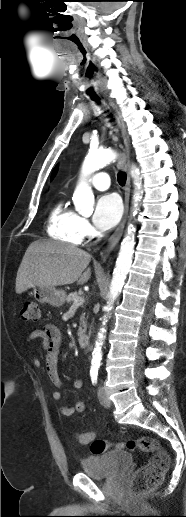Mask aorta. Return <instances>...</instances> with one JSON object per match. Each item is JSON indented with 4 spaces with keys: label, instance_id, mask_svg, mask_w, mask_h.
<instances>
[{
    "label": "aorta",
    "instance_id": "762f6f07",
    "mask_svg": "<svg viewBox=\"0 0 186 517\" xmlns=\"http://www.w3.org/2000/svg\"><path fill=\"white\" fill-rule=\"evenodd\" d=\"M116 158L117 153L111 149L90 150L85 157L81 169L80 181L73 195L75 208L80 213H89L93 210L94 206V195L91 187L86 181V178L91 173L99 170L100 168L114 161ZM130 173L134 179L135 186L132 209L134 215L139 210V203L142 198V185L139 169L135 166H132ZM135 231V227L132 224H129L126 235L121 243L120 251L113 272V277L111 280L109 302L105 307L107 315H105L103 318V325H105L107 322L109 311L112 308L111 305L118 298L129 272L134 253ZM105 332L106 330L104 327L100 329L97 336L96 345L92 353L91 369L95 371L98 370L102 360L101 346L105 339Z\"/></svg>",
    "mask_w": 186,
    "mask_h": 517
}]
</instances>
